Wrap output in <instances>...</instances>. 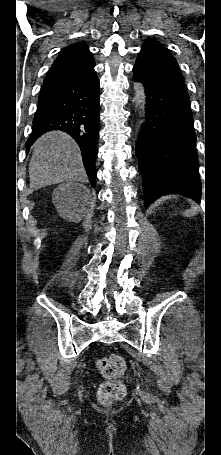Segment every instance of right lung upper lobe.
<instances>
[{
    "label": "right lung upper lobe",
    "mask_w": 221,
    "mask_h": 455,
    "mask_svg": "<svg viewBox=\"0 0 221 455\" xmlns=\"http://www.w3.org/2000/svg\"><path fill=\"white\" fill-rule=\"evenodd\" d=\"M87 49H88V47L84 42L70 45L61 51V53L59 54V56L57 57V59L55 61L65 57L75 51H81V50H87Z\"/></svg>",
    "instance_id": "right-lung-upper-lobe-1"
}]
</instances>
